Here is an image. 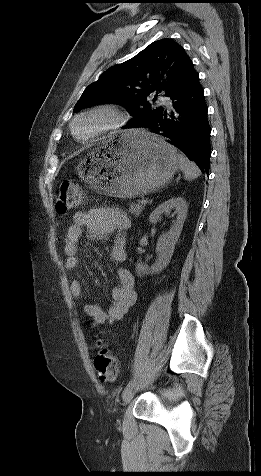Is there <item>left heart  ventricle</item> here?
I'll return each instance as SVG.
<instances>
[{
	"label": "left heart ventricle",
	"mask_w": 261,
	"mask_h": 476,
	"mask_svg": "<svg viewBox=\"0 0 261 476\" xmlns=\"http://www.w3.org/2000/svg\"><path fill=\"white\" fill-rule=\"evenodd\" d=\"M104 122L103 117H90L76 123L75 130L78 136L86 137Z\"/></svg>",
	"instance_id": "b2bd125f"
}]
</instances>
